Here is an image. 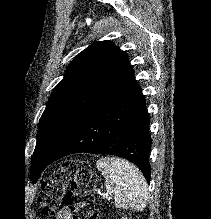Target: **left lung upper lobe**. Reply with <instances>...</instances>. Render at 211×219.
Instances as JSON below:
<instances>
[{
    "label": "left lung upper lobe",
    "mask_w": 211,
    "mask_h": 219,
    "mask_svg": "<svg viewBox=\"0 0 211 219\" xmlns=\"http://www.w3.org/2000/svg\"><path fill=\"white\" fill-rule=\"evenodd\" d=\"M130 67L127 55L110 41L95 42L76 56L40 118L34 153L44 150L52 157L59 152L83 115ZM41 172L31 159L33 183Z\"/></svg>",
    "instance_id": "left-lung-upper-lobe-1"
}]
</instances>
